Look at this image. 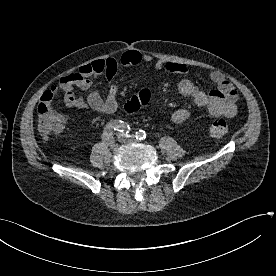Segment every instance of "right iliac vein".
Segmentation results:
<instances>
[{"label": "right iliac vein", "instance_id": "63e3f726", "mask_svg": "<svg viewBox=\"0 0 276 276\" xmlns=\"http://www.w3.org/2000/svg\"><path fill=\"white\" fill-rule=\"evenodd\" d=\"M110 148L115 149L117 147V143L115 142V140L112 138L109 142H108Z\"/></svg>", "mask_w": 276, "mask_h": 276}]
</instances>
